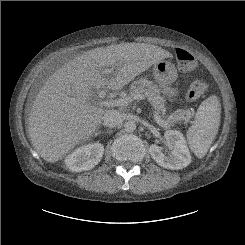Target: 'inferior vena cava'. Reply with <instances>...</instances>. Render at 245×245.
I'll return each instance as SVG.
<instances>
[{
	"label": "inferior vena cava",
	"mask_w": 245,
	"mask_h": 245,
	"mask_svg": "<svg viewBox=\"0 0 245 245\" xmlns=\"http://www.w3.org/2000/svg\"><path fill=\"white\" fill-rule=\"evenodd\" d=\"M123 121L122 114L117 110H108L103 116V125L114 128Z\"/></svg>",
	"instance_id": "inferior-vena-cava-1"
}]
</instances>
